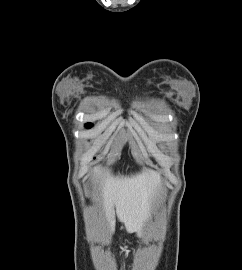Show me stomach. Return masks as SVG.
<instances>
[{
	"label": "stomach",
	"mask_w": 242,
	"mask_h": 270,
	"mask_svg": "<svg viewBox=\"0 0 242 270\" xmlns=\"http://www.w3.org/2000/svg\"><path fill=\"white\" fill-rule=\"evenodd\" d=\"M135 236H136L137 238L141 239V238L144 237V232H143L141 229L136 230V231H135Z\"/></svg>",
	"instance_id": "0dacf381"
}]
</instances>
